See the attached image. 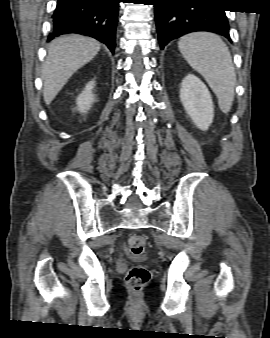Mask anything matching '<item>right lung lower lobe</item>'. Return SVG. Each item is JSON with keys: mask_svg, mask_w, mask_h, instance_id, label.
<instances>
[{"mask_svg": "<svg viewBox=\"0 0 270 338\" xmlns=\"http://www.w3.org/2000/svg\"><path fill=\"white\" fill-rule=\"evenodd\" d=\"M119 2L120 0H58L48 41L62 34L78 33L96 38L114 53Z\"/></svg>", "mask_w": 270, "mask_h": 338, "instance_id": "1", "label": "right lung lower lobe"}]
</instances>
